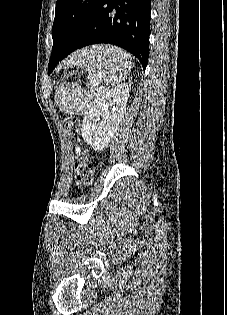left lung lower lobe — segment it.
I'll return each mask as SVG.
<instances>
[{"mask_svg": "<svg viewBox=\"0 0 227 315\" xmlns=\"http://www.w3.org/2000/svg\"><path fill=\"white\" fill-rule=\"evenodd\" d=\"M150 5L151 0H102L75 40L62 51L52 50L48 74L73 51L99 43L129 51L145 70L149 55Z\"/></svg>", "mask_w": 227, "mask_h": 315, "instance_id": "0a47b994", "label": "left lung lower lobe"}]
</instances>
